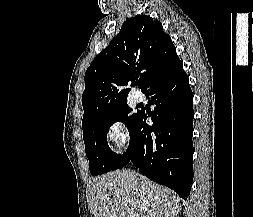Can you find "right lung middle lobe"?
Segmentation results:
<instances>
[{
	"mask_svg": "<svg viewBox=\"0 0 253 217\" xmlns=\"http://www.w3.org/2000/svg\"><path fill=\"white\" fill-rule=\"evenodd\" d=\"M127 102L116 105L82 124L86 155L91 175L108 172L115 166L119 154L108 146L106 135L109 127L117 121L123 122L130 131L141 111L132 112Z\"/></svg>",
	"mask_w": 253,
	"mask_h": 217,
	"instance_id": "obj_1",
	"label": "right lung middle lobe"
}]
</instances>
